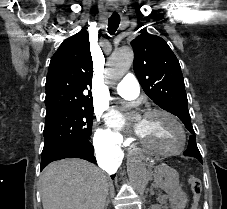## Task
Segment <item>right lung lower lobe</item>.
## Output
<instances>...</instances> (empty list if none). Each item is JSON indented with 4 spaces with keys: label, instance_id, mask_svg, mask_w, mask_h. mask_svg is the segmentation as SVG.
I'll use <instances>...</instances> for the list:
<instances>
[{
    "label": "right lung lower lobe",
    "instance_id": "98d812e1",
    "mask_svg": "<svg viewBox=\"0 0 227 209\" xmlns=\"http://www.w3.org/2000/svg\"><path fill=\"white\" fill-rule=\"evenodd\" d=\"M64 158H81L95 163L94 148L89 141H80L64 144L42 152L40 170L55 160Z\"/></svg>",
    "mask_w": 227,
    "mask_h": 209
}]
</instances>
